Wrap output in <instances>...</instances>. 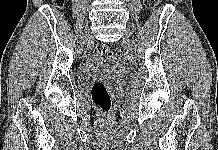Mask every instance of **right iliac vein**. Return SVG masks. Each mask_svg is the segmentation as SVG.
<instances>
[{
    "instance_id": "63e3f726",
    "label": "right iliac vein",
    "mask_w": 218,
    "mask_h": 150,
    "mask_svg": "<svg viewBox=\"0 0 218 150\" xmlns=\"http://www.w3.org/2000/svg\"><path fill=\"white\" fill-rule=\"evenodd\" d=\"M89 37H90L89 32H86V33L83 35V40H84V41H87V40L89 39Z\"/></svg>"
}]
</instances>
